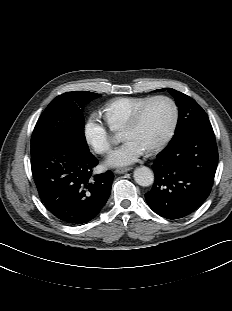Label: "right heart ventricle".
Segmentation results:
<instances>
[{
  "label": "right heart ventricle",
  "mask_w": 232,
  "mask_h": 311,
  "mask_svg": "<svg viewBox=\"0 0 232 311\" xmlns=\"http://www.w3.org/2000/svg\"><path fill=\"white\" fill-rule=\"evenodd\" d=\"M149 98L124 96L108 101L103 110L109 127L115 131L122 130L137 108Z\"/></svg>",
  "instance_id": "obj_1"
}]
</instances>
